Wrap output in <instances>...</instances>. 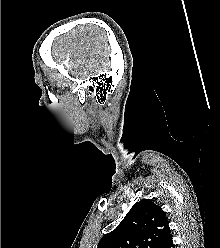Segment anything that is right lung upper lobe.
Returning a JSON list of instances; mask_svg holds the SVG:
<instances>
[{
  "label": "right lung upper lobe",
  "instance_id": "1",
  "mask_svg": "<svg viewBox=\"0 0 220 248\" xmlns=\"http://www.w3.org/2000/svg\"><path fill=\"white\" fill-rule=\"evenodd\" d=\"M171 237L166 214L150 199L136 202L97 248H161Z\"/></svg>",
  "mask_w": 220,
  "mask_h": 248
}]
</instances>
